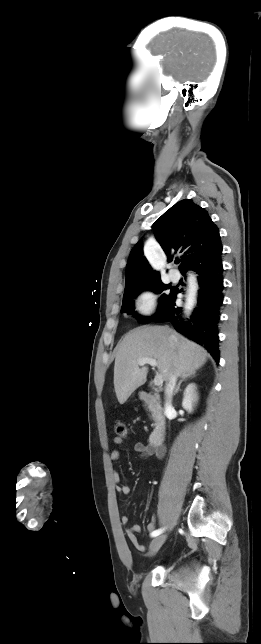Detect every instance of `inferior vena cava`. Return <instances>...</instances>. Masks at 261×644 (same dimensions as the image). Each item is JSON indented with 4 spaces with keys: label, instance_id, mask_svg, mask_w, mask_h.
<instances>
[{
    "label": "inferior vena cava",
    "instance_id": "602c4592",
    "mask_svg": "<svg viewBox=\"0 0 261 644\" xmlns=\"http://www.w3.org/2000/svg\"><path fill=\"white\" fill-rule=\"evenodd\" d=\"M179 376L178 372H174L170 375L168 382L165 385V410L172 407L171 400L173 391L176 385L177 377Z\"/></svg>",
    "mask_w": 261,
    "mask_h": 644
}]
</instances>
